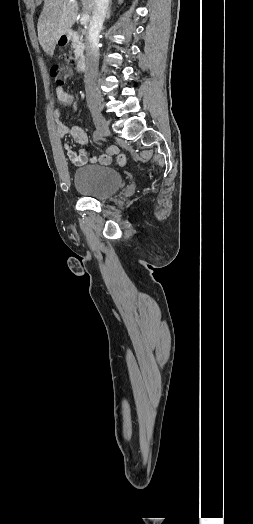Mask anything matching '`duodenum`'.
I'll return each mask as SVG.
<instances>
[{
	"label": "duodenum",
	"mask_w": 253,
	"mask_h": 524,
	"mask_svg": "<svg viewBox=\"0 0 253 524\" xmlns=\"http://www.w3.org/2000/svg\"><path fill=\"white\" fill-rule=\"evenodd\" d=\"M70 35V33L68 34V36ZM77 68L78 70L81 72V73H84L86 72L87 70V62H86V59L84 56H80L78 58V64H77Z\"/></svg>",
	"instance_id": "obj_1"
}]
</instances>
